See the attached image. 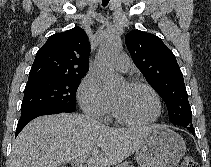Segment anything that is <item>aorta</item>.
I'll return each instance as SVG.
<instances>
[{
    "instance_id": "aorta-1",
    "label": "aorta",
    "mask_w": 211,
    "mask_h": 167,
    "mask_svg": "<svg viewBox=\"0 0 211 167\" xmlns=\"http://www.w3.org/2000/svg\"><path fill=\"white\" fill-rule=\"evenodd\" d=\"M121 40L116 36L107 38L100 46L96 57V69L103 88L111 91L120 86L123 78L116 74L111 66L113 57L121 50Z\"/></svg>"
}]
</instances>
